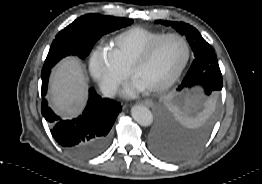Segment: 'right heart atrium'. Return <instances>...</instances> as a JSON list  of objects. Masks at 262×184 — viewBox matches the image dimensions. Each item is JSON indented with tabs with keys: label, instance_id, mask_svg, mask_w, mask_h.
<instances>
[{
	"label": "right heart atrium",
	"instance_id": "obj_1",
	"mask_svg": "<svg viewBox=\"0 0 262 184\" xmlns=\"http://www.w3.org/2000/svg\"><path fill=\"white\" fill-rule=\"evenodd\" d=\"M89 71L101 91L108 96H113L128 77V71L104 48H98L92 53Z\"/></svg>",
	"mask_w": 262,
	"mask_h": 184
}]
</instances>
